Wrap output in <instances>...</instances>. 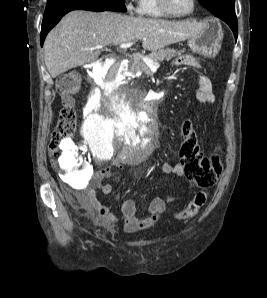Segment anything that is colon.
Instances as JSON below:
<instances>
[{"label": "colon", "mask_w": 267, "mask_h": 298, "mask_svg": "<svg viewBox=\"0 0 267 298\" xmlns=\"http://www.w3.org/2000/svg\"><path fill=\"white\" fill-rule=\"evenodd\" d=\"M57 89L61 97V108L57 125L52 133L50 151L54 168L65 177L81 176L87 169L84 157H73V165L69 167L61 162L66 148H71L72 137L77 123L74 95L79 90V77L75 73H65L57 80ZM182 142L179 148L181 165L186 176L202 188L213 186L222 170L219 152L205 155L199 146L197 134L189 119L180 124ZM207 199L205 191H199L189 204L176 214L179 220L191 218L199 213Z\"/></svg>", "instance_id": "1"}]
</instances>
